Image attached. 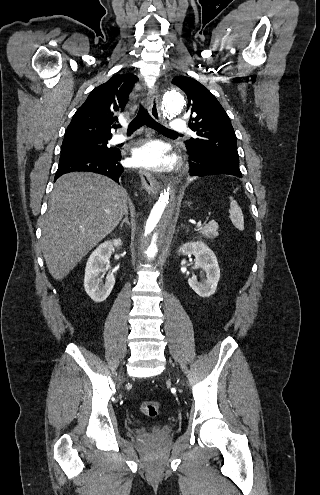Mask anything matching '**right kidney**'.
Wrapping results in <instances>:
<instances>
[{
    "instance_id": "obj_1",
    "label": "right kidney",
    "mask_w": 320,
    "mask_h": 495,
    "mask_svg": "<svg viewBox=\"0 0 320 495\" xmlns=\"http://www.w3.org/2000/svg\"><path fill=\"white\" fill-rule=\"evenodd\" d=\"M121 245V239L105 241L88 258L85 268L84 288L89 297L95 302L100 303L106 300L114 287L115 277L112 273L106 276L105 283H101L100 275L107 270L106 266L109 264L114 248Z\"/></svg>"
}]
</instances>
